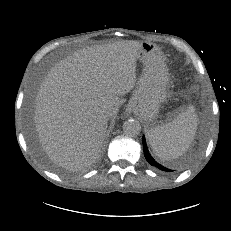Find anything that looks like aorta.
I'll return each instance as SVG.
<instances>
[{
    "instance_id": "762f6f07",
    "label": "aorta",
    "mask_w": 231,
    "mask_h": 231,
    "mask_svg": "<svg viewBox=\"0 0 231 231\" xmlns=\"http://www.w3.org/2000/svg\"><path fill=\"white\" fill-rule=\"evenodd\" d=\"M123 131L129 137H135L141 132V125L139 121L135 119L126 120L123 123Z\"/></svg>"
}]
</instances>
